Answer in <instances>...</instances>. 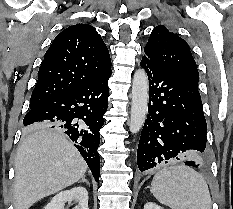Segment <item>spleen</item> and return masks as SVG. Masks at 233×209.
<instances>
[{
    "label": "spleen",
    "mask_w": 233,
    "mask_h": 209,
    "mask_svg": "<svg viewBox=\"0 0 233 209\" xmlns=\"http://www.w3.org/2000/svg\"><path fill=\"white\" fill-rule=\"evenodd\" d=\"M151 192L172 209H211L208 185L201 174L184 165L164 168L152 180Z\"/></svg>",
    "instance_id": "spleen-1"
}]
</instances>
